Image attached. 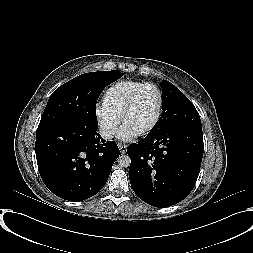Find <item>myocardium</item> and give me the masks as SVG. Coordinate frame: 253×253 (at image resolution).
<instances>
[{
	"mask_svg": "<svg viewBox=\"0 0 253 253\" xmlns=\"http://www.w3.org/2000/svg\"><path fill=\"white\" fill-rule=\"evenodd\" d=\"M148 87L154 88L158 93V96H159L158 109H157V112H156L151 124L148 127H146L145 129L137 132V135H139V136H143V135H147V134L151 133L156 128V126L158 125V123L160 121V118H161L162 112H163V108H164V94H163V91L161 90V88L157 84L151 83V82H146V83L140 85L130 95V97L126 101V103L121 111V114H120L121 122L124 125L125 118H126L127 114L130 112V110L133 108L140 93Z\"/></svg>",
	"mask_w": 253,
	"mask_h": 253,
	"instance_id": "1",
	"label": "myocardium"
}]
</instances>
